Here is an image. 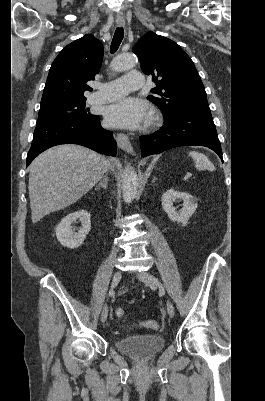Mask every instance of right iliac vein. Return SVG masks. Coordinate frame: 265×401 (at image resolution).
<instances>
[{"label":"right iliac vein","mask_w":265,"mask_h":401,"mask_svg":"<svg viewBox=\"0 0 265 401\" xmlns=\"http://www.w3.org/2000/svg\"><path fill=\"white\" fill-rule=\"evenodd\" d=\"M121 278H122L121 271L115 272L113 279H112V288L117 286V284L120 282ZM107 316H108V309H107V306H105L101 313V322L102 323H104L107 320Z\"/></svg>","instance_id":"right-iliac-vein-1"}]
</instances>
